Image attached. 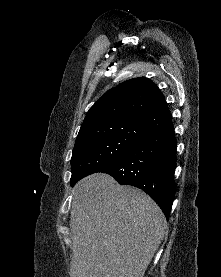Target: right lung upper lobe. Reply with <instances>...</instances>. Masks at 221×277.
Instances as JSON below:
<instances>
[{
  "label": "right lung upper lobe",
  "mask_w": 221,
  "mask_h": 277,
  "mask_svg": "<svg viewBox=\"0 0 221 277\" xmlns=\"http://www.w3.org/2000/svg\"><path fill=\"white\" fill-rule=\"evenodd\" d=\"M165 104L163 94L151 80L130 79L110 89L90 108L79 132L100 125L139 122Z\"/></svg>",
  "instance_id": "1"
}]
</instances>
